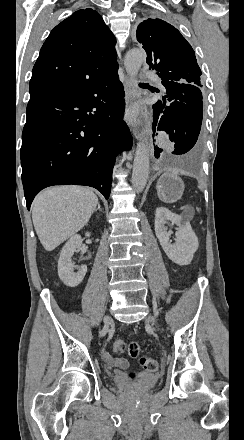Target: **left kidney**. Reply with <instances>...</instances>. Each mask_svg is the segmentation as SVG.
Returning a JSON list of instances; mask_svg holds the SVG:
<instances>
[{"instance_id": "1", "label": "left kidney", "mask_w": 244, "mask_h": 440, "mask_svg": "<svg viewBox=\"0 0 244 440\" xmlns=\"http://www.w3.org/2000/svg\"><path fill=\"white\" fill-rule=\"evenodd\" d=\"M167 222H172V224L178 226L174 244H171L169 238L172 232H167L164 226ZM155 234L169 260L179 264V266H188L192 262L193 256L198 250V238L189 222H185L182 216L173 214L167 208H157L155 212Z\"/></svg>"}]
</instances>
